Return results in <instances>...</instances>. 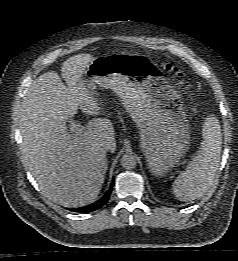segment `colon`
<instances>
[{
	"label": "colon",
	"mask_w": 238,
	"mask_h": 261,
	"mask_svg": "<svg viewBox=\"0 0 238 261\" xmlns=\"http://www.w3.org/2000/svg\"><path fill=\"white\" fill-rule=\"evenodd\" d=\"M160 65L172 76L174 82L181 90L190 91V83L178 67L165 62H160Z\"/></svg>",
	"instance_id": "colon-1"
}]
</instances>
